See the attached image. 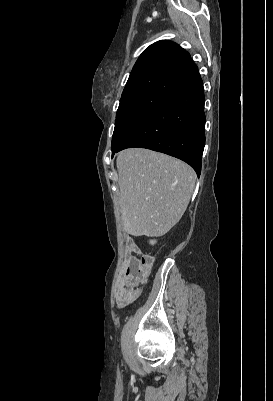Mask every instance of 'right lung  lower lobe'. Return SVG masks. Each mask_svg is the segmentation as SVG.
Wrapping results in <instances>:
<instances>
[{
    "label": "right lung lower lobe",
    "mask_w": 273,
    "mask_h": 401,
    "mask_svg": "<svg viewBox=\"0 0 273 401\" xmlns=\"http://www.w3.org/2000/svg\"><path fill=\"white\" fill-rule=\"evenodd\" d=\"M204 101L203 81L198 77L169 94L112 152V157L126 148H147L185 161L199 177L205 145Z\"/></svg>",
    "instance_id": "1"
}]
</instances>
